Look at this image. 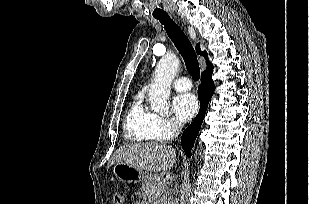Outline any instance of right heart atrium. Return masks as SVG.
Here are the masks:
<instances>
[{"mask_svg":"<svg viewBox=\"0 0 309 204\" xmlns=\"http://www.w3.org/2000/svg\"><path fill=\"white\" fill-rule=\"evenodd\" d=\"M181 130V124L172 116L155 115L151 133L156 140H168Z\"/></svg>","mask_w":309,"mask_h":204,"instance_id":"d8ad5b80","label":"right heart atrium"}]
</instances>
